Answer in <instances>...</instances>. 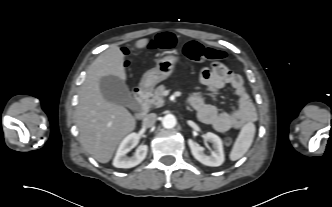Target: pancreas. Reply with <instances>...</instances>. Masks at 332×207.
Masks as SVG:
<instances>
[{"instance_id":"cf45deb5","label":"pancreas","mask_w":332,"mask_h":207,"mask_svg":"<svg viewBox=\"0 0 332 207\" xmlns=\"http://www.w3.org/2000/svg\"><path fill=\"white\" fill-rule=\"evenodd\" d=\"M166 91V87L164 85L158 86L153 92L150 94L151 98L147 101V104L150 107L159 108L164 105V92Z\"/></svg>"}]
</instances>
